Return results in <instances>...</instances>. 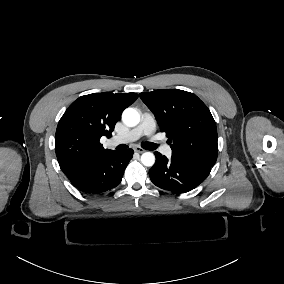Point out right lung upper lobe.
Returning a JSON list of instances; mask_svg holds the SVG:
<instances>
[{"mask_svg": "<svg viewBox=\"0 0 284 284\" xmlns=\"http://www.w3.org/2000/svg\"><path fill=\"white\" fill-rule=\"evenodd\" d=\"M137 98L136 93H94L79 97L67 108L57 126L55 151L69 180L112 152L102 147L100 138L111 137L123 110Z\"/></svg>", "mask_w": 284, "mask_h": 284, "instance_id": "right-lung-upper-lobe-1", "label": "right lung upper lobe"}]
</instances>
